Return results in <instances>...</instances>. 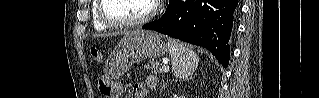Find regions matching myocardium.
Segmentation results:
<instances>
[{
    "label": "myocardium",
    "mask_w": 319,
    "mask_h": 98,
    "mask_svg": "<svg viewBox=\"0 0 319 98\" xmlns=\"http://www.w3.org/2000/svg\"><path fill=\"white\" fill-rule=\"evenodd\" d=\"M106 0H100L98 4V16L100 20L108 25L109 27H115V28H136L140 27L146 23H148L150 20L153 19V17L156 15V13L159 10V1L157 0H150L151 7L150 10L141 18L132 20V21H121V20H114L109 18L105 12H104V6H105Z\"/></svg>",
    "instance_id": "obj_1"
}]
</instances>
